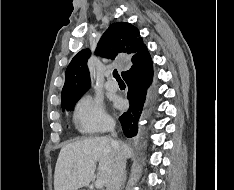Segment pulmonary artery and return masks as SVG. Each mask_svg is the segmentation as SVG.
<instances>
[{
    "instance_id": "pulmonary-artery-1",
    "label": "pulmonary artery",
    "mask_w": 234,
    "mask_h": 190,
    "mask_svg": "<svg viewBox=\"0 0 234 190\" xmlns=\"http://www.w3.org/2000/svg\"><path fill=\"white\" fill-rule=\"evenodd\" d=\"M105 87L110 91H116L118 89V84L114 81H107Z\"/></svg>"
}]
</instances>
